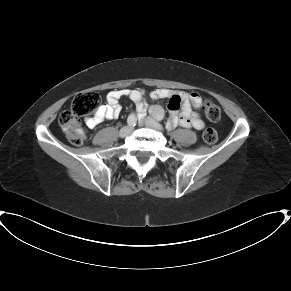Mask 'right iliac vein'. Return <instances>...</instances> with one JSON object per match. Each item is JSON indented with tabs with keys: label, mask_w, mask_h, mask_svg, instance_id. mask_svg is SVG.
I'll return each instance as SVG.
<instances>
[{
	"label": "right iliac vein",
	"mask_w": 291,
	"mask_h": 291,
	"mask_svg": "<svg viewBox=\"0 0 291 291\" xmlns=\"http://www.w3.org/2000/svg\"><path fill=\"white\" fill-rule=\"evenodd\" d=\"M132 132V128L131 127H123L120 132H119V135L120 137H126L128 136L130 133Z\"/></svg>",
	"instance_id": "63e3f726"
}]
</instances>
